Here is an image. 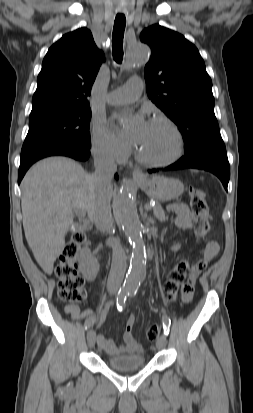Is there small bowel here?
I'll use <instances>...</instances> for the list:
<instances>
[{
	"label": "small bowel",
	"instance_id": "obj_1",
	"mask_svg": "<svg viewBox=\"0 0 253 413\" xmlns=\"http://www.w3.org/2000/svg\"><path fill=\"white\" fill-rule=\"evenodd\" d=\"M171 211L176 214L175 223L176 226L183 230H190L193 227L194 215L190 211L187 205L182 203L173 204L170 206ZM170 249L173 252H176L179 249L178 243H171ZM219 245L214 241H207L204 251L203 258L199 261L193 268L192 273H186L184 279H182L180 284V296L182 297L183 303L185 305H190L195 297L196 288L195 282L199 274L206 267V265L212 261V259L218 254ZM109 309L108 304H104L100 307L98 312V326L101 327L102 321L106 316ZM66 313L73 320H83L86 325L89 322L93 324L97 321L96 316L90 310H87L83 313H80V309L77 305H68L65 308ZM133 325L134 317L131 316L125 326L123 338L125 341L124 346H117L116 343L105 338L103 335H98L96 337L97 344L102 348L106 353L110 355H119L123 353H141L143 352L142 345L135 339L133 335Z\"/></svg>",
	"mask_w": 253,
	"mask_h": 413
}]
</instances>
